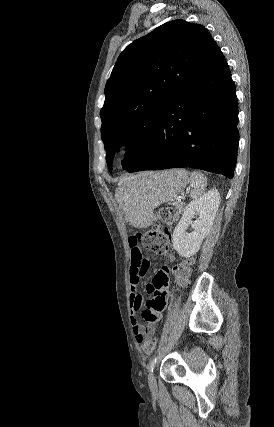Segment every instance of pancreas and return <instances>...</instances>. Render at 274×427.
<instances>
[{"label":"pancreas","mask_w":274,"mask_h":427,"mask_svg":"<svg viewBox=\"0 0 274 427\" xmlns=\"http://www.w3.org/2000/svg\"><path fill=\"white\" fill-rule=\"evenodd\" d=\"M184 206H185V204H183V202H179V204H175L176 214H181V212H183V210H184Z\"/></svg>","instance_id":"cf45deb5"}]
</instances>
